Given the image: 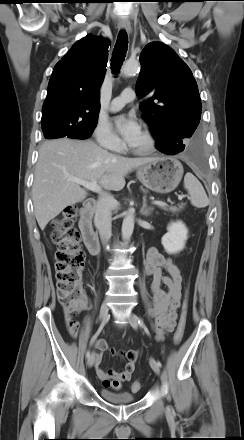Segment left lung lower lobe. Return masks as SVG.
Returning <instances> with one entry per match:
<instances>
[{
  "label": "left lung lower lobe",
  "mask_w": 244,
  "mask_h": 440,
  "mask_svg": "<svg viewBox=\"0 0 244 440\" xmlns=\"http://www.w3.org/2000/svg\"><path fill=\"white\" fill-rule=\"evenodd\" d=\"M197 145H185V147H182L180 150H171L169 152H163L166 154H170V155H174L177 153H180L182 151H186L188 150V155L190 156V158L194 161V163L197 165L198 168L200 169H204V161L197 149ZM160 151V150H159ZM162 152V151H161Z\"/></svg>",
  "instance_id": "0a47b994"
}]
</instances>
